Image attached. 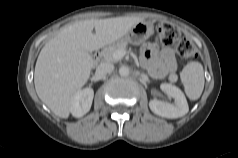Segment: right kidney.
<instances>
[{
  "label": "right kidney",
  "mask_w": 238,
  "mask_h": 158,
  "mask_svg": "<svg viewBox=\"0 0 238 158\" xmlns=\"http://www.w3.org/2000/svg\"><path fill=\"white\" fill-rule=\"evenodd\" d=\"M94 97V91L92 88L87 87L78 91L71 104V113L74 117L79 118L89 112L92 100Z\"/></svg>",
  "instance_id": "right-kidney-1"
}]
</instances>
